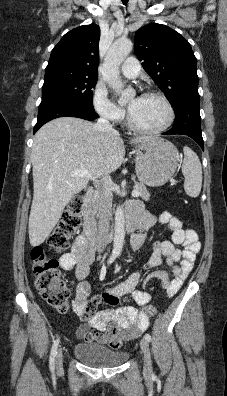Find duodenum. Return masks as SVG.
Returning <instances> with one entry per match:
<instances>
[{
	"label": "duodenum",
	"mask_w": 227,
	"mask_h": 396,
	"mask_svg": "<svg viewBox=\"0 0 227 396\" xmlns=\"http://www.w3.org/2000/svg\"><path fill=\"white\" fill-rule=\"evenodd\" d=\"M94 196H95L94 189H88L83 196V201L85 206V227L82 236L87 246L91 249H96L99 245L98 233L90 217V207L94 199ZM137 225H138L137 218L132 214H128L126 218V230L128 232H132L137 228ZM105 239L107 240L108 237H106Z\"/></svg>",
	"instance_id": "410a0bca"
}]
</instances>
